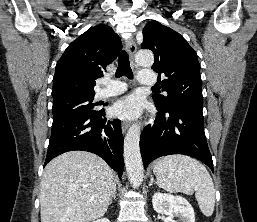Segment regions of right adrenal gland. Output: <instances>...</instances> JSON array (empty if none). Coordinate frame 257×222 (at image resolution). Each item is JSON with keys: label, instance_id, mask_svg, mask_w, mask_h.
<instances>
[{"label": "right adrenal gland", "instance_id": "obj_1", "mask_svg": "<svg viewBox=\"0 0 257 222\" xmlns=\"http://www.w3.org/2000/svg\"><path fill=\"white\" fill-rule=\"evenodd\" d=\"M112 198H114V199L116 198V187L113 190L112 196H111L110 201H109V205L112 203Z\"/></svg>", "mask_w": 257, "mask_h": 222}]
</instances>
